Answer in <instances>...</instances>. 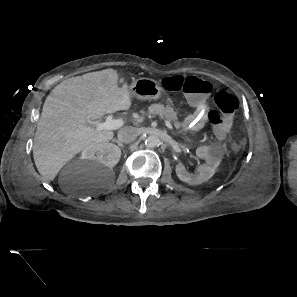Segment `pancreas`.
Wrapping results in <instances>:
<instances>
[{
    "label": "pancreas",
    "mask_w": 297,
    "mask_h": 297,
    "mask_svg": "<svg viewBox=\"0 0 297 297\" xmlns=\"http://www.w3.org/2000/svg\"><path fill=\"white\" fill-rule=\"evenodd\" d=\"M149 114L159 115L162 119H166L169 122H173L176 128L181 127V123L178 121L177 112L170 105L152 104L149 107Z\"/></svg>",
    "instance_id": "1"
}]
</instances>
